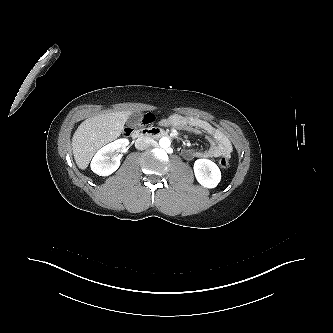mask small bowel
I'll return each mask as SVG.
<instances>
[{
    "instance_id": "small-bowel-1",
    "label": "small bowel",
    "mask_w": 333,
    "mask_h": 333,
    "mask_svg": "<svg viewBox=\"0 0 333 333\" xmlns=\"http://www.w3.org/2000/svg\"><path fill=\"white\" fill-rule=\"evenodd\" d=\"M159 123L162 126L191 130L197 134H206L208 136L210 143L209 148L206 150L186 148L182 152L186 159L218 158L221 156H229L232 152V144L227 135L221 129L203 119L172 114Z\"/></svg>"
}]
</instances>
